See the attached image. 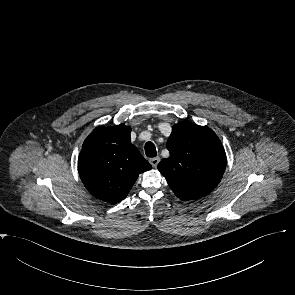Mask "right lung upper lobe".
Here are the masks:
<instances>
[{
	"mask_svg": "<svg viewBox=\"0 0 295 295\" xmlns=\"http://www.w3.org/2000/svg\"><path fill=\"white\" fill-rule=\"evenodd\" d=\"M131 128L123 124L96 128L84 141L78 172L97 199L114 204L123 200L140 173L152 167L131 143Z\"/></svg>",
	"mask_w": 295,
	"mask_h": 295,
	"instance_id": "right-lung-upper-lobe-1",
	"label": "right lung upper lobe"
}]
</instances>
